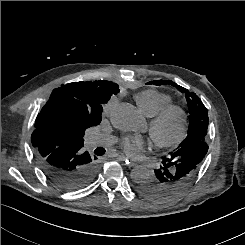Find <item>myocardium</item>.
Returning a JSON list of instances; mask_svg holds the SVG:
<instances>
[{
    "label": "myocardium",
    "instance_id": "1",
    "mask_svg": "<svg viewBox=\"0 0 245 245\" xmlns=\"http://www.w3.org/2000/svg\"><path fill=\"white\" fill-rule=\"evenodd\" d=\"M171 116H177L179 119V132L171 139H163L158 135V130L162 124ZM189 128V117L186 109L180 105L170 104L161 110L157 115L151 118L149 122L148 132L156 144L160 148H172L181 144L187 136Z\"/></svg>",
    "mask_w": 245,
    "mask_h": 245
}]
</instances>
